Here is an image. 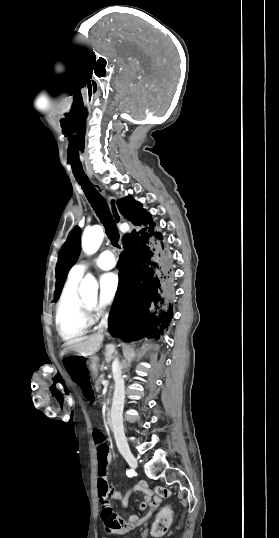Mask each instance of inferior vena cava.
<instances>
[{"label": "inferior vena cava", "mask_w": 279, "mask_h": 538, "mask_svg": "<svg viewBox=\"0 0 279 538\" xmlns=\"http://www.w3.org/2000/svg\"><path fill=\"white\" fill-rule=\"evenodd\" d=\"M105 318H108V314L105 315ZM105 325L106 324H102ZM121 366L119 367V361L116 358L115 362H113V372H117L114 376L115 380V393L113 398V404L111 409V423L113 426V432L115 436V440L117 442V446L121 454L125 457L132 455L129 449V446L126 441V437L124 435V428H123V404H124V381L123 376H121Z\"/></svg>", "instance_id": "602c4592"}]
</instances>
